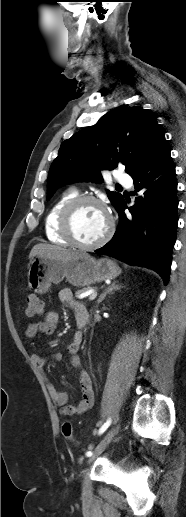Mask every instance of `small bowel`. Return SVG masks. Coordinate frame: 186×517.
<instances>
[{"mask_svg":"<svg viewBox=\"0 0 186 517\" xmlns=\"http://www.w3.org/2000/svg\"><path fill=\"white\" fill-rule=\"evenodd\" d=\"M60 301L69 307L77 316V314L86 309L83 302L75 301L71 290L63 289L59 292ZM58 319L54 313L48 312L44 318L39 321L31 322L28 324L25 330L27 337H35L38 333L51 335L57 328ZM83 342V334L80 331H76L72 337V341L68 346V353L70 354L71 366L79 372V381L81 386V400L76 405L67 404L68 394L64 390L57 389L51 382L46 381L47 390L53 399L54 403L60 407V413L64 416H75L81 415L92 408L94 404V391L92 386V379L89 373L83 368V363L79 355L80 346ZM62 355L60 353L51 354L48 357L41 356L40 354L34 353L31 355V359L36 367L42 370L50 359H60Z\"/></svg>","mask_w":186,"mask_h":517,"instance_id":"obj_1","label":"small bowel"}]
</instances>
